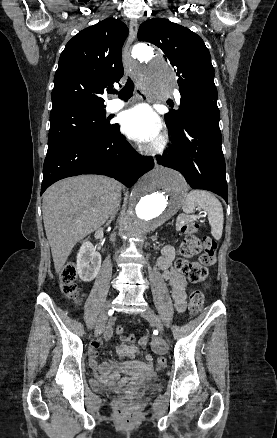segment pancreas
I'll use <instances>...</instances> for the list:
<instances>
[{"label":"pancreas","instance_id":"1","mask_svg":"<svg viewBox=\"0 0 277 438\" xmlns=\"http://www.w3.org/2000/svg\"><path fill=\"white\" fill-rule=\"evenodd\" d=\"M189 219L190 218L187 215L184 214L179 215V217L174 220V227H173L174 232L176 233L181 232L182 227L185 225V222L189 221Z\"/></svg>","mask_w":277,"mask_h":438}]
</instances>
